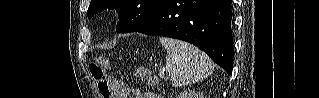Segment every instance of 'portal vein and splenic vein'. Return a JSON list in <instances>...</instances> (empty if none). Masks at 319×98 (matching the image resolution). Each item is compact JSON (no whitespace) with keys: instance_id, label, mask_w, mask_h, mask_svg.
<instances>
[{"instance_id":"portal-vein-and-splenic-vein-1","label":"portal vein and splenic vein","mask_w":319,"mask_h":98,"mask_svg":"<svg viewBox=\"0 0 319 98\" xmlns=\"http://www.w3.org/2000/svg\"><path fill=\"white\" fill-rule=\"evenodd\" d=\"M159 75H160V76H164V71H160V72H159Z\"/></svg>"}]
</instances>
